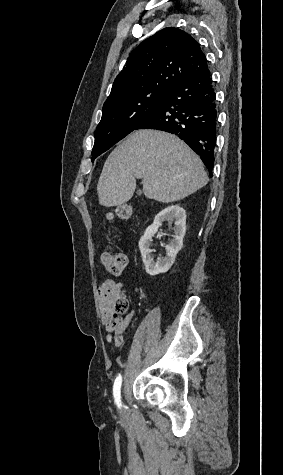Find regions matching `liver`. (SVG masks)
Masks as SVG:
<instances>
[{
  "label": "liver",
  "mask_w": 283,
  "mask_h": 475,
  "mask_svg": "<svg viewBox=\"0 0 283 475\" xmlns=\"http://www.w3.org/2000/svg\"><path fill=\"white\" fill-rule=\"evenodd\" d=\"M136 178H143L146 198L164 204L183 200L209 182L199 156L177 136L159 130H136L111 152L97 186L100 206L129 202Z\"/></svg>",
  "instance_id": "1"
}]
</instances>
